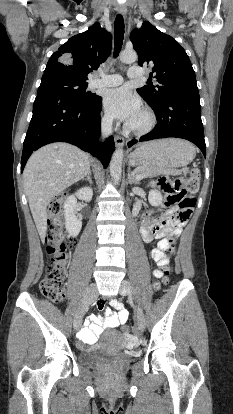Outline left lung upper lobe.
I'll list each match as a JSON object with an SVG mask.
<instances>
[{
    "label": "left lung upper lobe",
    "instance_id": "1",
    "mask_svg": "<svg viewBox=\"0 0 233 414\" xmlns=\"http://www.w3.org/2000/svg\"><path fill=\"white\" fill-rule=\"evenodd\" d=\"M138 63L153 65L152 73L159 85L137 89L153 110L158 109L169 97L198 93L195 72L185 50L169 35L159 31L149 22L130 34Z\"/></svg>",
    "mask_w": 233,
    "mask_h": 414
}]
</instances>
